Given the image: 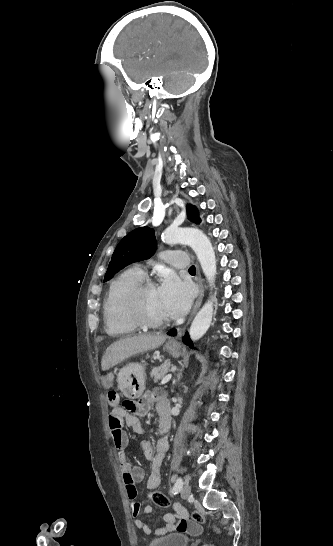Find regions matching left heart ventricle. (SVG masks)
I'll list each match as a JSON object with an SVG mask.
<instances>
[{
  "label": "left heart ventricle",
  "instance_id": "1",
  "mask_svg": "<svg viewBox=\"0 0 333 546\" xmlns=\"http://www.w3.org/2000/svg\"><path fill=\"white\" fill-rule=\"evenodd\" d=\"M142 308L147 317L153 320H166L168 317L162 306L158 289H147L142 296Z\"/></svg>",
  "mask_w": 333,
  "mask_h": 546
}]
</instances>
